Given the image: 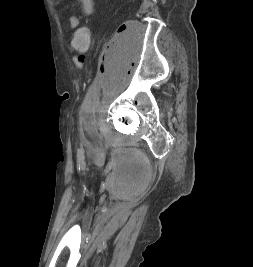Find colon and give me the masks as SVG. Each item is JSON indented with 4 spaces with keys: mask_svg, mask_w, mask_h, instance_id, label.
<instances>
[{
    "mask_svg": "<svg viewBox=\"0 0 253 267\" xmlns=\"http://www.w3.org/2000/svg\"><path fill=\"white\" fill-rule=\"evenodd\" d=\"M72 46L78 53V55L74 57V63L76 66L81 67L85 60L84 55L90 46V34L86 27L78 28L75 31L72 39Z\"/></svg>",
    "mask_w": 253,
    "mask_h": 267,
    "instance_id": "obj_1",
    "label": "colon"
}]
</instances>
